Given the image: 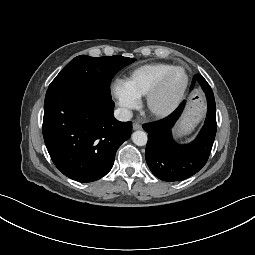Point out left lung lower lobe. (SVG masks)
Instances as JSON below:
<instances>
[{
  "label": "left lung lower lobe",
  "instance_id": "obj_1",
  "mask_svg": "<svg viewBox=\"0 0 255 255\" xmlns=\"http://www.w3.org/2000/svg\"><path fill=\"white\" fill-rule=\"evenodd\" d=\"M198 82L204 90L208 103L207 117L194 141L186 145L174 142L171 129L181 115L185 101L168 117L144 124L148 132L146 162L151 172L163 181H181L200 171L206 164L216 134V107L214 94L202 75L193 77L191 89Z\"/></svg>",
  "mask_w": 255,
  "mask_h": 255
}]
</instances>
